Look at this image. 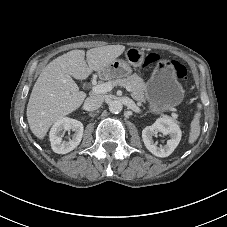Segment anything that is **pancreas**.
<instances>
[{
    "label": "pancreas",
    "instance_id": "obj_1",
    "mask_svg": "<svg viewBox=\"0 0 227 227\" xmlns=\"http://www.w3.org/2000/svg\"><path fill=\"white\" fill-rule=\"evenodd\" d=\"M108 83H110L112 86H129L131 88V95L133 99L138 102L145 100V91L147 89V85L137 74H132L125 78L112 79L109 80Z\"/></svg>",
    "mask_w": 227,
    "mask_h": 227
}]
</instances>
